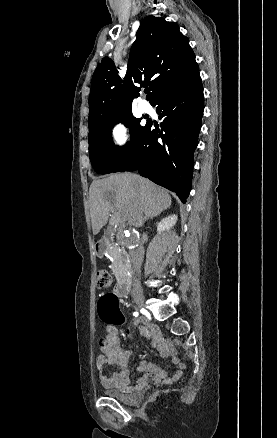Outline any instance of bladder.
Here are the masks:
<instances>
[{"instance_id": "bladder-1", "label": "bladder", "mask_w": 277, "mask_h": 438, "mask_svg": "<svg viewBox=\"0 0 277 438\" xmlns=\"http://www.w3.org/2000/svg\"><path fill=\"white\" fill-rule=\"evenodd\" d=\"M102 394L111 400L117 401L122 404H129L133 398L132 393H127L118 388H105L102 390Z\"/></svg>"}]
</instances>
